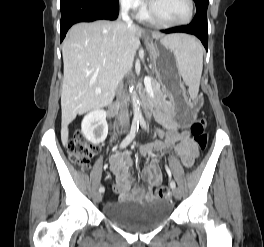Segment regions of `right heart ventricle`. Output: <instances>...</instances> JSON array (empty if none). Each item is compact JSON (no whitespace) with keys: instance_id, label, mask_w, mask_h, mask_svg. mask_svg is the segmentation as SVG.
Wrapping results in <instances>:
<instances>
[{"instance_id":"obj_1","label":"right heart ventricle","mask_w":264,"mask_h":247,"mask_svg":"<svg viewBox=\"0 0 264 247\" xmlns=\"http://www.w3.org/2000/svg\"><path fill=\"white\" fill-rule=\"evenodd\" d=\"M139 18L143 21H151V18L149 17L146 11L140 12Z\"/></svg>"}]
</instances>
